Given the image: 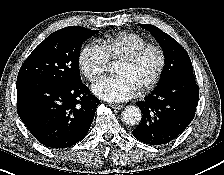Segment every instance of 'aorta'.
Wrapping results in <instances>:
<instances>
[{
	"mask_svg": "<svg viewBox=\"0 0 224 175\" xmlns=\"http://www.w3.org/2000/svg\"><path fill=\"white\" fill-rule=\"evenodd\" d=\"M141 118V110L137 106H126L122 111V120L128 125L138 124Z\"/></svg>",
	"mask_w": 224,
	"mask_h": 175,
	"instance_id": "obj_1",
	"label": "aorta"
}]
</instances>
